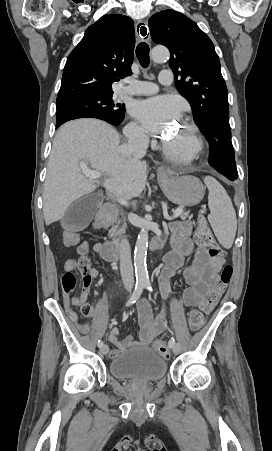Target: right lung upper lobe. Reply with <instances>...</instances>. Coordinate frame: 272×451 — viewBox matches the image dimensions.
Segmentation results:
<instances>
[{
  "label": "right lung upper lobe",
  "mask_w": 272,
  "mask_h": 451,
  "mask_svg": "<svg viewBox=\"0 0 272 451\" xmlns=\"http://www.w3.org/2000/svg\"><path fill=\"white\" fill-rule=\"evenodd\" d=\"M134 45L131 18L101 17L68 56L57 99L112 95V82L132 74Z\"/></svg>",
  "instance_id": "obj_1"
}]
</instances>
